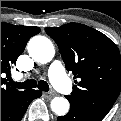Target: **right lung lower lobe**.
<instances>
[{"label": "right lung lower lobe", "instance_id": "1", "mask_svg": "<svg viewBox=\"0 0 121 121\" xmlns=\"http://www.w3.org/2000/svg\"><path fill=\"white\" fill-rule=\"evenodd\" d=\"M41 95L39 90L21 92L1 108V121H20L31 101Z\"/></svg>", "mask_w": 121, "mask_h": 121}]
</instances>
